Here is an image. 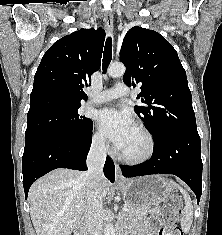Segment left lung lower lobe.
<instances>
[{"label":"left lung lower lobe","mask_w":222,"mask_h":235,"mask_svg":"<svg viewBox=\"0 0 222 235\" xmlns=\"http://www.w3.org/2000/svg\"><path fill=\"white\" fill-rule=\"evenodd\" d=\"M124 177L173 174L193 190L200 201L202 192L201 140L197 136L172 133L154 142L150 160L134 166H120Z\"/></svg>","instance_id":"obj_1"}]
</instances>
